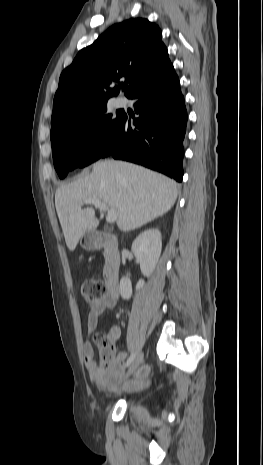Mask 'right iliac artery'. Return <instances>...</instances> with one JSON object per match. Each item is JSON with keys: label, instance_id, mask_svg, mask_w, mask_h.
Masks as SVG:
<instances>
[{"label": "right iliac artery", "instance_id": "1", "mask_svg": "<svg viewBox=\"0 0 263 465\" xmlns=\"http://www.w3.org/2000/svg\"><path fill=\"white\" fill-rule=\"evenodd\" d=\"M135 356H136V353H133V354L130 355V357L128 358V360L126 362V365H125L126 367H128L133 362Z\"/></svg>", "mask_w": 263, "mask_h": 465}]
</instances>
